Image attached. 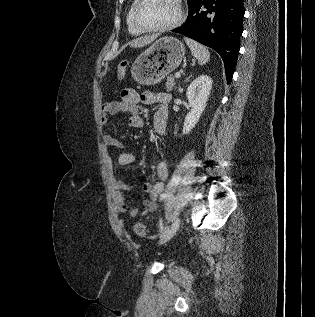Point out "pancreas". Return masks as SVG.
Returning a JSON list of instances; mask_svg holds the SVG:
<instances>
[{
	"mask_svg": "<svg viewBox=\"0 0 315 317\" xmlns=\"http://www.w3.org/2000/svg\"><path fill=\"white\" fill-rule=\"evenodd\" d=\"M175 82L176 80L173 76L170 75L167 77V81L165 83L167 91H171L173 89Z\"/></svg>",
	"mask_w": 315,
	"mask_h": 317,
	"instance_id": "pancreas-1",
	"label": "pancreas"
}]
</instances>
